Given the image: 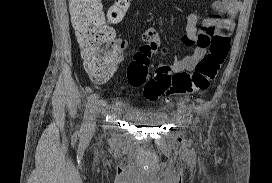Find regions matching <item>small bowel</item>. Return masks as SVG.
Returning <instances> with one entry per match:
<instances>
[{"mask_svg": "<svg viewBox=\"0 0 272 183\" xmlns=\"http://www.w3.org/2000/svg\"><path fill=\"white\" fill-rule=\"evenodd\" d=\"M242 7L243 4L240 0H216L212 3V9L216 12V15L200 20L196 13L189 14L182 41L185 45L192 48V53L183 58L175 59L171 66L172 71L180 73L192 70L205 56L208 41L213 37L212 34H226L233 30L234 19ZM141 40L145 44L160 43L159 34L153 27H149L143 31ZM113 42L120 62L121 54L127 48L129 42L125 38H113ZM116 69L117 66L110 71L106 79L94 80L98 83L105 82L113 75Z\"/></svg>", "mask_w": 272, "mask_h": 183, "instance_id": "1", "label": "small bowel"}]
</instances>
